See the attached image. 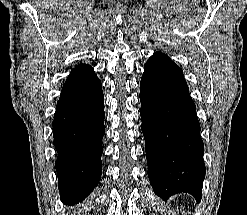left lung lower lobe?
I'll use <instances>...</instances> for the list:
<instances>
[{"instance_id":"obj_1","label":"left lung lower lobe","mask_w":247,"mask_h":215,"mask_svg":"<svg viewBox=\"0 0 247 215\" xmlns=\"http://www.w3.org/2000/svg\"><path fill=\"white\" fill-rule=\"evenodd\" d=\"M140 84L142 132L153 191L164 200L186 192L199 202L204 145L183 72L156 52L145 64Z\"/></svg>"}]
</instances>
